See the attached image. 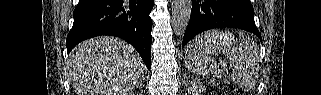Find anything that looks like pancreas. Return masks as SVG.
Wrapping results in <instances>:
<instances>
[{
  "label": "pancreas",
  "instance_id": "obj_1",
  "mask_svg": "<svg viewBox=\"0 0 321 95\" xmlns=\"http://www.w3.org/2000/svg\"><path fill=\"white\" fill-rule=\"evenodd\" d=\"M198 87H203V86H201V85H198ZM204 88V87H203Z\"/></svg>",
  "mask_w": 321,
  "mask_h": 95
}]
</instances>
